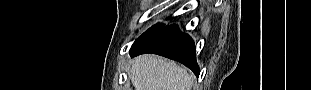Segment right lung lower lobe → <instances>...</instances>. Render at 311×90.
<instances>
[{"mask_svg": "<svg viewBox=\"0 0 311 90\" xmlns=\"http://www.w3.org/2000/svg\"><path fill=\"white\" fill-rule=\"evenodd\" d=\"M130 53L132 56L143 53H154L180 63L190 68L199 76V67L196 63L195 46L193 40L173 24L161 27L142 40L135 42Z\"/></svg>", "mask_w": 311, "mask_h": 90, "instance_id": "right-lung-lower-lobe-1", "label": "right lung lower lobe"}]
</instances>
